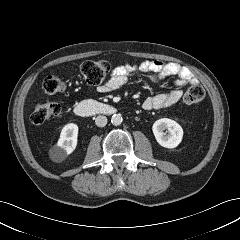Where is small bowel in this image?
I'll return each instance as SVG.
<instances>
[{"instance_id": "obj_1", "label": "small bowel", "mask_w": 240, "mask_h": 240, "mask_svg": "<svg viewBox=\"0 0 240 240\" xmlns=\"http://www.w3.org/2000/svg\"><path fill=\"white\" fill-rule=\"evenodd\" d=\"M145 74L152 81L159 82L169 77H175V88L154 96L147 97L142 108L146 111L168 108L175 105L183 95L182 87L197 83L193 73L176 63L163 61H143L139 64L125 63L117 66L111 73L109 79L98 87L100 92L106 93L116 90L126 84L128 78L133 74Z\"/></svg>"}]
</instances>
